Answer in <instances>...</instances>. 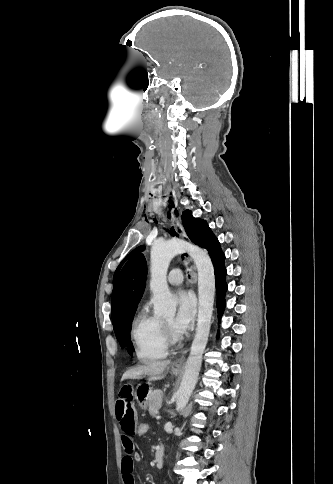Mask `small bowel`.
<instances>
[{
    "label": "small bowel",
    "instance_id": "obj_1",
    "mask_svg": "<svg viewBox=\"0 0 333 484\" xmlns=\"http://www.w3.org/2000/svg\"><path fill=\"white\" fill-rule=\"evenodd\" d=\"M116 419L122 430L121 443L124 456L121 471L124 484H135L134 463L140 461V455L135 452L133 437L138 424V414L135 406L134 388L131 384L121 386L115 403Z\"/></svg>",
    "mask_w": 333,
    "mask_h": 484
}]
</instances>
